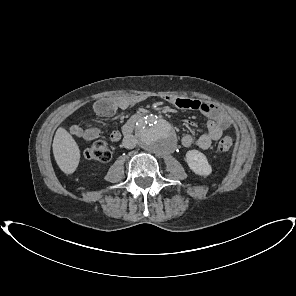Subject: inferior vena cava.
<instances>
[{
	"mask_svg": "<svg viewBox=\"0 0 296 296\" xmlns=\"http://www.w3.org/2000/svg\"><path fill=\"white\" fill-rule=\"evenodd\" d=\"M123 146L127 149H132L137 144V139L133 135H127L123 138Z\"/></svg>",
	"mask_w": 296,
	"mask_h": 296,
	"instance_id": "602c4592",
	"label": "inferior vena cava"
}]
</instances>
